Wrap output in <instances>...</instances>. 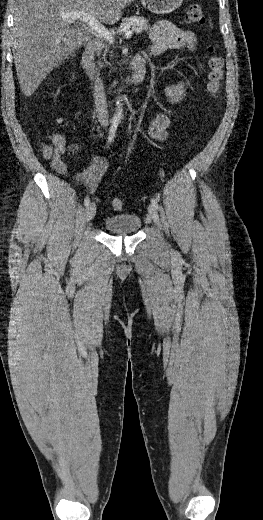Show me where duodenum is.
Here are the masks:
<instances>
[{
  "label": "duodenum",
  "instance_id": "410a0bca",
  "mask_svg": "<svg viewBox=\"0 0 263 520\" xmlns=\"http://www.w3.org/2000/svg\"><path fill=\"white\" fill-rule=\"evenodd\" d=\"M95 51V46L89 45L82 55V67L87 78L92 84H96L97 82V71L94 64ZM146 60L147 55L144 53H137L134 56L132 60L131 73L122 89L135 87L143 81L146 74Z\"/></svg>",
  "mask_w": 263,
  "mask_h": 520
}]
</instances>
